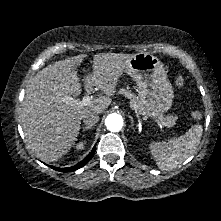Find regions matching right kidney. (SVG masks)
<instances>
[{
  "label": "right kidney",
  "mask_w": 221,
  "mask_h": 221,
  "mask_svg": "<svg viewBox=\"0 0 221 221\" xmlns=\"http://www.w3.org/2000/svg\"><path fill=\"white\" fill-rule=\"evenodd\" d=\"M86 143L87 142L85 140L77 143L75 146L76 150H83L85 148Z\"/></svg>",
  "instance_id": "1"
}]
</instances>
